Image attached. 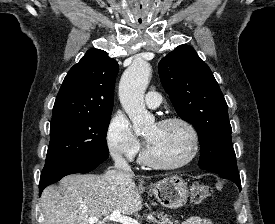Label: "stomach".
Masks as SVG:
<instances>
[{"label": "stomach", "instance_id": "stomach-1", "mask_svg": "<svg viewBox=\"0 0 275 224\" xmlns=\"http://www.w3.org/2000/svg\"><path fill=\"white\" fill-rule=\"evenodd\" d=\"M151 192L168 209H178L186 204L189 195L187 183L178 176L166 177L151 185Z\"/></svg>", "mask_w": 275, "mask_h": 224}]
</instances>
